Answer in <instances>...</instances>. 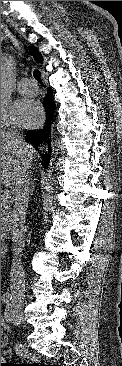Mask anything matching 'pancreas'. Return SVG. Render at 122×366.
Masks as SVG:
<instances>
[{"instance_id": "obj_1", "label": "pancreas", "mask_w": 122, "mask_h": 366, "mask_svg": "<svg viewBox=\"0 0 122 366\" xmlns=\"http://www.w3.org/2000/svg\"><path fill=\"white\" fill-rule=\"evenodd\" d=\"M10 200L1 199V241L7 238L8 234V214H9Z\"/></svg>"}]
</instances>
